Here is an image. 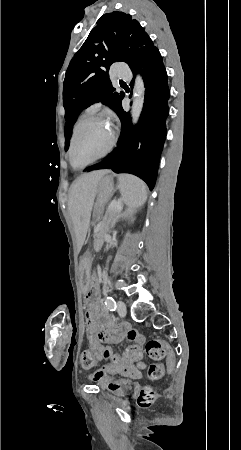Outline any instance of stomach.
<instances>
[{"label":"stomach","instance_id":"obj_1","mask_svg":"<svg viewBox=\"0 0 241 450\" xmlns=\"http://www.w3.org/2000/svg\"><path fill=\"white\" fill-rule=\"evenodd\" d=\"M114 191L113 178L111 176L102 177L98 183L97 201L95 203V213L97 216L102 214L105 204L109 201ZM91 263L90 252H86L81 257L79 263V287L82 291H85L88 287Z\"/></svg>","mask_w":241,"mask_h":450}]
</instances>
